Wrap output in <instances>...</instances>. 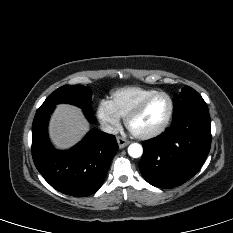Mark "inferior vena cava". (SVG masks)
I'll return each mask as SVG.
<instances>
[{
    "instance_id": "inferior-vena-cava-1",
    "label": "inferior vena cava",
    "mask_w": 233,
    "mask_h": 233,
    "mask_svg": "<svg viewBox=\"0 0 233 233\" xmlns=\"http://www.w3.org/2000/svg\"><path fill=\"white\" fill-rule=\"evenodd\" d=\"M101 130L108 134H118V129L114 126L109 125L108 123H101Z\"/></svg>"
}]
</instances>
